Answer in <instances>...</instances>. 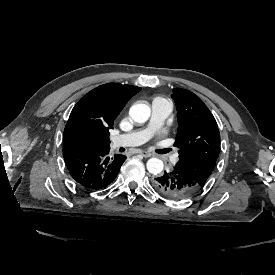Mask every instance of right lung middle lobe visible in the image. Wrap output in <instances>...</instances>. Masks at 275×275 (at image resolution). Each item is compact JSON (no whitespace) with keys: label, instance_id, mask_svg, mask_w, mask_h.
Segmentation results:
<instances>
[{"label":"right lung middle lobe","instance_id":"dd1d6c3e","mask_svg":"<svg viewBox=\"0 0 275 275\" xmlns=\"http://www.w3.org/2000/svg\"><path fill=\"white\" fill-rule=\"evenodd\" d=\"M82 146H95V143L92 142V137H85Z\"/></svg>","mask_w":275,"mask_h":275}]
</instances>
